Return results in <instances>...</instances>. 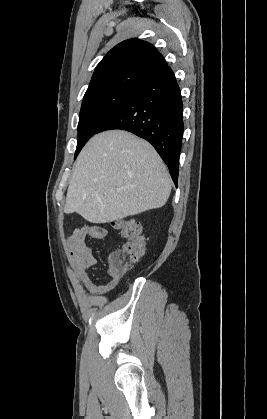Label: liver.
Returning a JSON list of instances; mask_svg holds the SVG:
<instances>
[{"label":"liver","instance_id":"1","mask_svg":"<svg viewBox=\"0 0 267 419\" xmlns=\"http://www.w3.org/2000/svg\"><path fill=\"white\" fill-rule=\"evenodd\" d=\"M172 181L147 141L123 130L93 136L80 152L64 212L105 223L165 205Z\"/></svg>","mask_w":267,"mask_h":419}]
</instances>
